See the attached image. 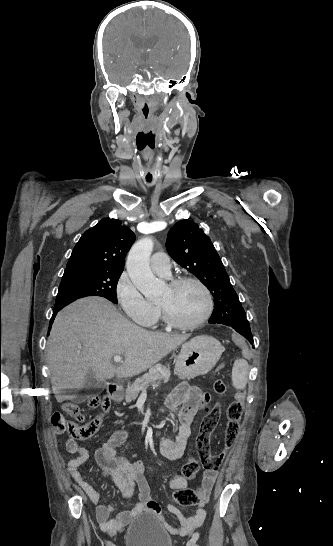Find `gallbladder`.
<instances>
[{
	"label": "gallbladder",
	"mask_w": 333,
	"mask_h": 546,
	"mask_svg": "<svg viewBox=\"0 0 333 546\" xmlns=\"http://www.w3.org/2000/svg\"><path fill=\"white\" fill-rule=\"evenodd\" d=\"M85 390L87 393L85 395H78L73 398L74 402L81 403L87 396L98 393L105 388L104 381H98L92 372L88 373L85 377Z\"/></svg>",
	"instance_id": "obj_1"
}]
</instances>
